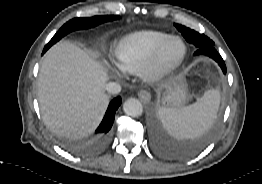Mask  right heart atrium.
Here are the masks:
<instances>
[{
    "label": "right heart atrium",
    "instance_id": "right-heart-atrium-1",
    "mask_svg": "<svg viewBox=\"0 0 262 184\" xmlns=\"http://www.w3.org/2000/svg\"><path fill=\"white\" fill-rule=\"evenodd\" d=\"M113 72L115 73L116 76L121 77L122 76V71L120 68H113Z\"/></svg>",
    "mask_w": 262,
    "mask_h": 184
}]
</instances>
